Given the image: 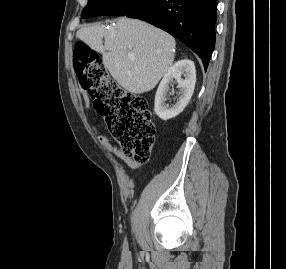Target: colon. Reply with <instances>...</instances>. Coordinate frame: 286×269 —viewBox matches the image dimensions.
<instances>
[{"label": "colon", "instance_id": "colon-1", "mask_svg": "<svg viewBox=\"0 0 286 269\" xmlns=\"http://www.w3.org/2000/svg\"><path fill=\"white\" fill-rule=\"evenodd\" d=\"M73 65L81 87L91 96L122 153L136 162H147L156 137L148 100L120 88L98 54L84 42L73 47Z\"/></svg>", "mask_w": 286, "mask_h": 269}]
</instances>
